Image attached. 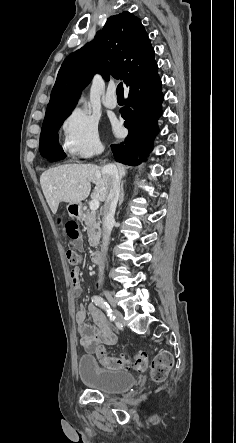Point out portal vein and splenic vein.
Listing matches in <instances>:
<instances>
[{
	"instance_id": "portal-vein-and-splenic-vein-1",
	"label": "portal vein and splenic vein",
	"mask_w": 236,
	"mask_h": 443,
	"mask_svg": "<svg viewBox=\"0 0 236 443\" xmlns=\"http://www.w3.org/2000/svg\"><path fill=\"white\" fill-rule=\"evenodd\" d=\"M79 188H82V186H79ZM99 205H100V203H99V201L98 200H96V199H94V200H92L91 202H90V210L92 211V212H95L98 208H99Z\"/></svg>"
}]
</instances>
